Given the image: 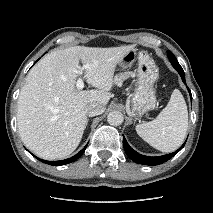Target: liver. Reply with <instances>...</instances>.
<instances>
[{
    "label": "liver",
    "instance_id": "obj_1",
    "mask_svg": "<svg viewBox=\"0 0 213 213\" xmlns=\"http://www.w3.org/2000/svg\"><path fill=\"white\" fill-rule=\"evenodd\" d=\"M133 49L75 46L42 58L28 73L18 98L17 124L24 145L46 160L69 156L87 126L86 106L108 104L116 66ZM80 62L90 65L83 75L96 90L77 89Z\"/></svg>",
    "mask_w": 213,
    "mask_h": 213
}]
</instances>
